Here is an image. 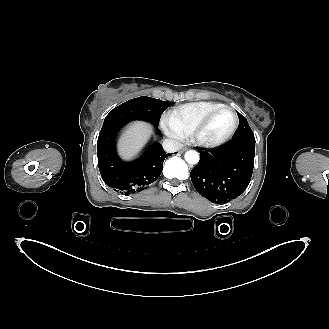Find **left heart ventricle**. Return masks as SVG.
Here are the masks:
<instances>
[{
	"label": "left heart ventricle",
	"instance_id": "b2bd125f",
	"mask_svg": "<svg viewBox=\"0 0 329 329\" xmlns=\"http://www.w3.org/2000/svg\"><path fill=\"white\" fill-rule=\"evenodd\" d=\"M234 115L230 110H222L217 113L201 132L205 140H218L225 137L232 129Z\"/></svg>",
	"mask_w": 329,
	"mask_h": 329
}]
</instances>
